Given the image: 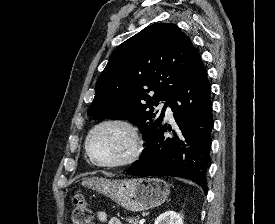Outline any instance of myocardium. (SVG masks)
I'll return each mask as SVG.
<instances>
[{
    "instance_id": "obj_1",
    "label": "myocardium",
    "mask_w": 275,
    "mask_h": 224,
    "mask_svg": "<svg viewBox=\"0 0 275 224\" xmlns=\"http://www.w3.org/2000/svg\"><path fill=\"white\" fill-rule=\"evenodd\" d=\"M107 125H119L124 127L130 134L131 139H132V150L130 152V154L117 162H112V163H105V162H101L99 161L92 153L91 149H90V140L91 137L93 136V134L100 128L107 126ZM85 151L88 155V157L90 158L91 162L93 164H95L98 167H102V168H119V167H125L128 166L130 164H132L133 162H135L138 157L141 154L142 151V139L139 135V132L137 130V128L128 120L123 119V118H117V117H112V118H107L104 119L98 123H96L88 132L86 139H85Z\"/></svg>"
}]
</instances>
